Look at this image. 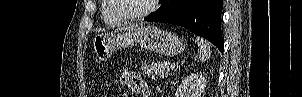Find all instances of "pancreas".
I'll use <instances>...</instances> for the list:
<instances>
[{
	"instance_id": "cf45deb5",
	"label": "pancreas",
	"mask_w": 302,
	"mask_h": 97,
	"mask_svg": "<svg viewBox=\"0 0 302 97\" xmlns=\"http://www.w3.org/2000/svg\"><path fill=\"white\" fill-rule=\"evenodd\" d=\"M170 62L169 61H163V62H157L152 63L151 65H145L141 67V73L142 75H147L149 77H155V76H163L170 74Z\"/></svg>"
}]
</instances>
